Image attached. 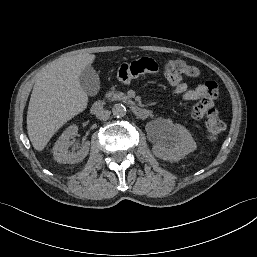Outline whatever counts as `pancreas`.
<instances>
[{
    "label": "pancreas",
    "instance_id": "1",
    "mask_svg": "<svg viewBox=\"0 0 257 257\" xmlns=\"http://www.w3.org/2000/svg\"><path fill=\"white\" fill-rule=\"evenodd\" d=\"M105 97L108 100H111V101H114V100H128V97L122 92L109 91V92L106 93Z\"/></svg>",
    "mask_w": 257,
    "mask_h": 257
}]
</instances>
